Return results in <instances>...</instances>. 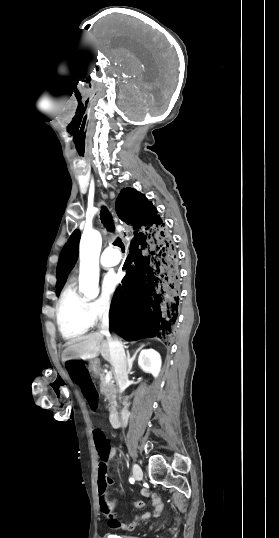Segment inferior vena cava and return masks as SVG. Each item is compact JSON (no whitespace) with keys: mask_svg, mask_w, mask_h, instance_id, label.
<instances>
[{"mask_svg":"<svg viewBox=\"0 0 279 538\" xmlns=\"http://www.w3.org/2000/svg\"><path fill=\"white\" fill-rule=\"evenodd\" d=\"M108 311L109 310H100L98 316L100 318V321H102L101 326V334L106 335V338L109 341V349L110 350V356L113 360L112 365L115 369V375H117L118 384L120 386V389H123V386L128 384V376L126 371V365L128 361H124L125 353L123 349V345L121 342V339L118 340L119 335H110L109 333V320H108ZM126 389V388H125ZM124 389V390H125ZM120 390V392L124 391Z\"/></svg>","mask_w":279,"mask_h":538,"instance_id":"1","label":"inferior vena cava"}]
</instances>
